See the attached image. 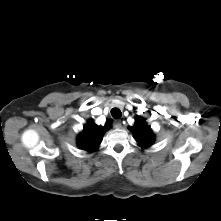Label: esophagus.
Segmentation results:
<instances>
[{
	"mask_svg": "<svg viewBox=\"0 0 221 221\" xmlns=\"http://www.w3.org/2000/svg\"><path fill=\"white\" fill-rule=\"evenodd\" d=\"M114 127L119 129L122 127V123H121V120H115L114 121Z\"/></svg>",
	"mask_w": 221,
	"mask_h": 221,
	"instance_id": "1",
	"label": "esophagus"
}]
</instances>
